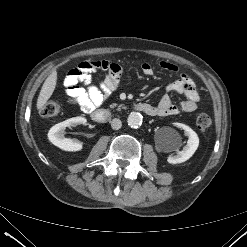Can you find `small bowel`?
I'll return each instance as SVG.
<instances>
[{
	"label": "small bowel",
	"instance_id": "1",
	"mask_svg": "<svg viewBox=\"0 0 247 247\" xmlns=\"http://www.w3.org/2000/svg\"><path fill=\"white\" fill-rule=\"evenodd\" d=\"M159 66L168 72L177 73L179 68L170 62L162 61ZM141 71L146 76L154 73L153 66L144 62ZM98 72H104V77L94 84L93 76ZM122 68L112 61H84L73 68L64 80L65 94L71 104L77 105L85 112H91L99 107L119 85ZM82 84L80 86L79 84ZM171 93H180L185 96L179 105L172 102ZM200 94L192 81L185 73L181 77L166 86V93L156 106L155 116H174L183 112H193L197 109Z\"/></svg>",
	"mask_w": 247,
	"mask_h": 247
}]
</instances>
